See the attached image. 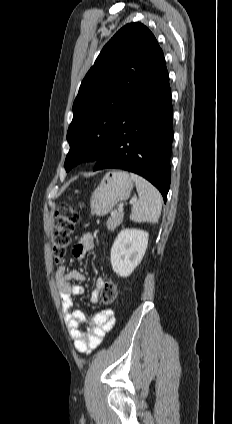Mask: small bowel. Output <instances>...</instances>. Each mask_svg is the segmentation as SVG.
I'll return each mask as SVG.
<instances>
[{
    "instance_id": "c3829d8e",
    "label": "small bowel",
    "mask_w": 232,
    "mask_h": 424,
    "mask_svg": "<svg viewBox=\"0 0 232 424\" xmlns=\"http://www.w3.org/2000/svg\"><path fill=\"white\" fill-rule=\"evenodd\" d=\"M95 240L91 235H83L74 245L73 256L82 260L94 248ZM86 276L78 270L66 269L65 265H60L55 273V283L61 300V310L68 327L70 337L76 351L88 354L96 349L103 341L104 336L114 325V312L112 309H104L94 316L88 317L82 310L74 308V297L81 296L85 288L76 282L85 281ZM104 284L102 278H98L95 287L90 293V300L93 303L99 301V291ZM89 322L87 331L81 328V324Z\"/></svg>"
}]
</instances>
